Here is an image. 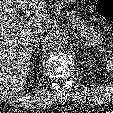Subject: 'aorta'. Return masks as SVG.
<instances>
[{"mask_svg": "<svg viewBox=\"0 0 113 113\" xmlns=\"http://www.w3.org/2000/svg\"><path fill=\"white\" fill-rule=\"evenodd\" d=\"M47 44L53 50L62 49L67 44V34L64 31H55L49 35Z\"/></svg>", "mask_w": 113, "mask_h": 113, "instance_id": "obj_1", "label": "aorta"}]
</instances>
